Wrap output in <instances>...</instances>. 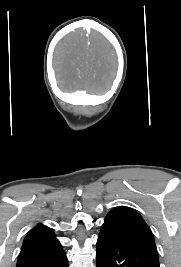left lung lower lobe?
Segmentation results:
<instances>
[{"label": "left lung lower lobe", "instance_id": "0a47b994", "mask_svg": "<svg viewBox=\"0 0 181 267\" xmlns=\"http://www.w3.org/2000/svg\"><path fill=\"white\" fill-rule=\"evenodd\" d=\"M96 253L97 267H160L157 250L105 226L98 236Z\"/></svg>", "mask_w": 181, "mask_h": 267}]
</instances>
